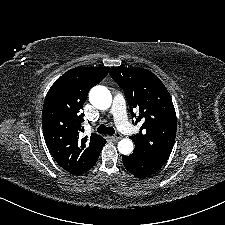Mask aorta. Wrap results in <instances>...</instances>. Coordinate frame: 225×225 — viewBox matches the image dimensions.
Wrapping results in <instances>:
<instances>
[{
	"instance_id": "762f6f07",
	"label": "aorta",
	"mask_w": 225,
	"mask_h": 225,
	"mask_svg": "<svg viewBox=\"0 0 225 225\" xmlns=\"http://www.w3.org/2000/svg\"><path fill=\"white\" fill-rule=\"evenodd\" d=\"M89 101L95 108L105 110L111 106L112 95L108 88L97 85L90 90ZM133 149L134 144L130 139H122L118 143V151L123 155H130Z\"/></svg>"
}]
</instances>
